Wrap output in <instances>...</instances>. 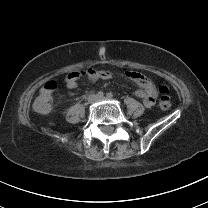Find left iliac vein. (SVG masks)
<instances>
[{"label":"left iliac vein","instance_id":"4c4485c4","mask_svg":"<svg viewBox=\"0 0 208 208\" xmlns=\"http://www.w3.org/2000/svg\"><path fill=\"white\" fill-rule=\"evenodd\" d=\"M99 100H104L105 98L104 97H102V98H98Z\"/></svg>","mask_w":208,"mask_h":208}]
</instances>
